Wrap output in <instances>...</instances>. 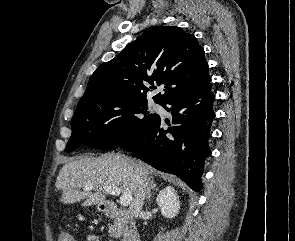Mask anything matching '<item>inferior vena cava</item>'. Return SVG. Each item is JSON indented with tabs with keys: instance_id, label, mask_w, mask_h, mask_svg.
<instances>
[{
	"instance_id": "obj_1",
	"label": "inferior vena cava",
	"mask_w": 295,
	"mask_h": 241,
	"mask_svg": "<svg viewBox=\"0 0 295 241\" xmlns=\"http://www.w3.org/2000/svg\"><path fill=\"white\" fill-rule=\"evenodd\" d=\"M135 183H136V192L134 195V200L132 203V211L134 215L137 217L140 215L142 206L145 198V190H146V174L142 172L140 169H135Z\"/></svg>"
}]
</instances>
